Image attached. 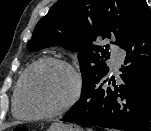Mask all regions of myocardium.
<instances>
[{"label":"myocardium","instance_id":"myocardium-1","mask_svg":"<svg viewBox=\"0 0 151 131\" xmlns=\"http://www.w3.org/2000/svg\"><path fill=\"white\" fill-rule=\"evenodd\" d=\"M45 65H57L64 68L69 73L72 80V88L70 94L61 106H59L57 109L51 112L37 113V114L28 113L24 111L22 108V97H23L27 80L30 74L34 70ZM81 93H82V78L79 71L72 64L60 58H54V57L44 58L30 65L23 73L20 80L17 95L15 98V108L17 114L22 118L34 119V120L51 119L60 116L65 112H67L69 109H71L74 106V104L78 101Z\"/></svg>","mask_w":151,"mask_h":131}]
</instances>
